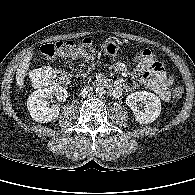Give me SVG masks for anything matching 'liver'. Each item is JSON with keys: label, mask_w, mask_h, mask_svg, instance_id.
<instances>
[{"label": "liver", "mask_w": 195, "mask_h": 195, "mask_svg": "<svg viewBox=\"0 0 195 195\" xmlns=\"http://www.w3.org/2000/svg\"><path fill=\"white\" fill-rule=\"evenodd\" d=\"M32 58V54L24 57L23 61L19 64V67L16 72V81L20 88L24 85V77L26 75V70L29 68L30 59Z\"/></svg>", "instance_id": "obj_1"}]
</instances>
